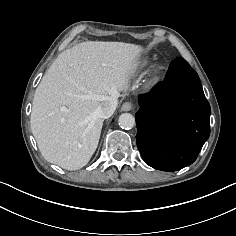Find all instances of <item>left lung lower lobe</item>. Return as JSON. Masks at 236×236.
Returning <instances> with one entry per match:
<instances>
[{
    "mask_svg": "<svg viewBox=\"0 0 236 236\" xmlns=\"http://www.w3.org/2000/svg\"><path fill=\"white\" fill-rule=\"evenodd\" d=\"M138 101L136 140L146 163L163 171L192 164L210 135V105L188 62L173 60L164 81Z\"/></svg>",
    "mask_w": 236,
    "mask_h": 236,
    "instance_id": "0a47b994",
    "label": "left lung lower lobe"
}]
</instances>
